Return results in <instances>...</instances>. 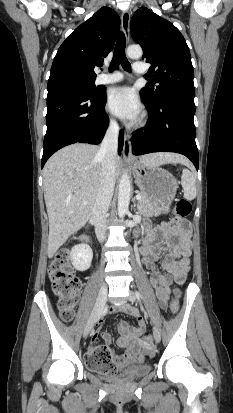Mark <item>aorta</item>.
I'll return each mask as SVG.
<instances>
[{
  "label": "aorta",
  "instance_id": "aorta-1",
  "mask_svg": "<svg viewBox=\"0 0 233 413\" xmlns=\"http://www.w3.org/2000/svg\"><path fill=\"white\" fill-rule=\"evenodd\" d=\"M127 55L131 59H139L143 55L142 48L138 45H131L127 49ZM131 185L127 172H124L120 178L118 187V216L123 218L128 212L130 201Z\"/></svg>",
  "mask_w": 233,
  "mask_h": 413
}]
</instances>
